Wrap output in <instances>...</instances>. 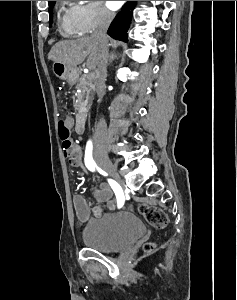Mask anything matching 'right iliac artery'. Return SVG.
I'll return each mask as SVG.
<instances>
[{
    "label": "right iliac artery",
    "instance_id": "1",
    "mask_svg": "<svg viewBox=\"0 0 237 300\" xmlns=\"http://www.w3.org/2000/svg\"><path fill=\"white\" fill-rule=\"evenodd\" d=\"M92 148H93L92 142L89 140L87 142L86 151H85V165L90 171L94 172L95 169L97 168V165L92 157ZM108 182H109L111 188L113 189V191L115 192L118 207L119 208L122 207L124 201L120 195L121 189H120L119 184L112 179H108Z\"/></svg>",
    "mask_w": 237,
    "mask_h": 300
}]
</instances>
